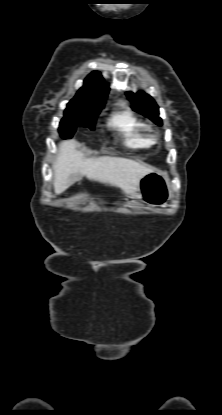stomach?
<instances>
[{"label":"stomach","instance_id":"stomach-1","mask_svg":"<svg viewBox=\"0 0 222 415\" xmlns=\"http://www.w3.org/2000/svg\"><path fill=\"white\" fill-rule=\"evenodd\" d=\"M170 181L166 173L153 171L145 175L128 194V202L142 198L150 206H163L171 197Z\"/></svg>","mask_w":222,"mask_h":415}]
</instances>
